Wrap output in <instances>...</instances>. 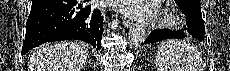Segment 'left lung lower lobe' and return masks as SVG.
<instances>
[{
  "mask_svg": "<svg viewBox=\"0 0 230 71\" xmlns=\"http://www.w3.org/2000/svg\"><path fill=\"white\" fill-rule=\"evenodd\" d=\"M187 19V27L177 31L154 30L150 33L144 43H154L164 39L171 38H197L203 40L205 34L204 23L200 6L193 3L179 4Z\"/></svg>",
  "mask_w": 230,
  "mask_h": 71,
  "instance_id": "0a47b994",
  "label": "left lung lower lobe"
}]
</instances>
